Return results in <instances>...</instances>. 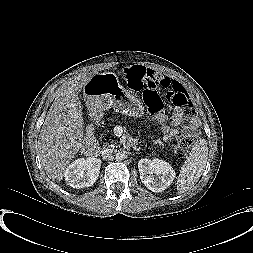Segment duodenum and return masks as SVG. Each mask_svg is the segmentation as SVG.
I'll list each match as a JSON object with an SVG mask.
<instances>
[{
  "label": "duodenum",
  "instance_id": "410a0bca",
  "mask_svg": "<svg viewBox=\"0 0 253 253\" xmlns=\"http://www.w3.org/2000/svg\"><path fill=\"white\" fill-rule=\"evenodd\" d=\"M93 117H94L95 120L98 121L101 117V113L100 112H94ZM83 152L86 155H89V156H91V155H93L97 152V146H96L94 140L89 139L83 144Z\"/></svg>",
  "mask_w": 253,
  "mask_h": 253
}]
</instances>
